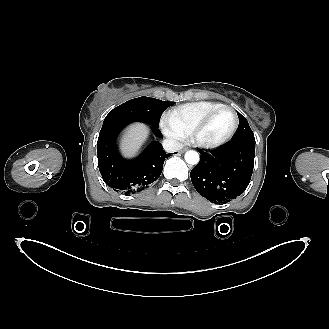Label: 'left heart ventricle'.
Returning <instances> with one entry per match:
<instances>
[{"mask_svg":"<svg viewBox=\"0 0 329 329\" xmlns=\"http://www.w3.org/2000/svg\"><path fill=\"white\" fill-rule=\"evenodd\" d=\"M234 124L231 111L223 110L217 113L199 133V138L204 141H217L226 137Z\"/></svg>","mask_w":329,"mask_h":329,"instance_id":"left-heart-ventricle-1","label":"left heart ventricle"}]
</instances>
